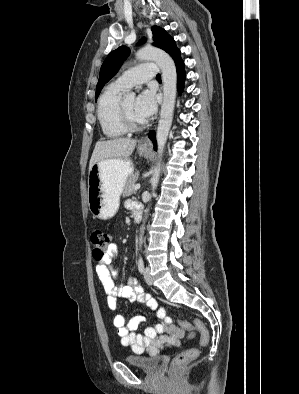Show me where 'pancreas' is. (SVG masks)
<instances>
[{
    "label": "pancreas",
    "mask_w": 299,
    "mask_h": 394,
    "mask_svg": "<svg viewBox=\"0 0 299 394\" xmlns=\"http://www.w3.org/2000/svg\"><path fill=\"white\" fill-rule=\"evenodd\" d=\"M138 177V172L134 173L131 177H129L123 190V197H127L135 193L134 186L136 181L138 180Z\"/></svg>",
    "instance_id": "pancreas-1"
}]
</instances>
